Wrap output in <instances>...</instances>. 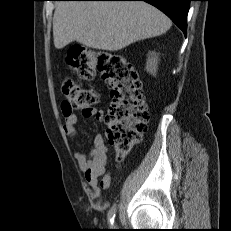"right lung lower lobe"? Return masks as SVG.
<instances>
[{
  "mask_svg": "<svg viewBox=\"0 0 231 231\" xmlns=\"http://www.w3.org/2000/svg\"><path fill=\"white\" fill-rule=\"evenodd\" d=\"M87 1H145L164 12L186 35V20L191 0H87Z\"/></svg>",
  "mask_w": 231,
  "mask_h": 231,
  "instance_id": "1",
  "label": "right lung lower lobe"
}]
</instances>
